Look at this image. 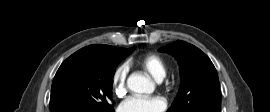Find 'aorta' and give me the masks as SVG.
Listing matches in <instances>:
<instances>
[{
    "label": "aorta",
    "instance_id": "1",
    "mask_svg": "<svg viewBox=\"0 0 270 112\" xmlns=\"http://www.w3.org/2000/svg\"><path fill=\"white\" fill-rule=\"evenodd\" d=\"M127 87L135 93H152L154 91V84L147 77L137 73L128 77Z\"/></svg>",
    "mask_w": 270,
    "mask_h": 112
}]
</instances>
